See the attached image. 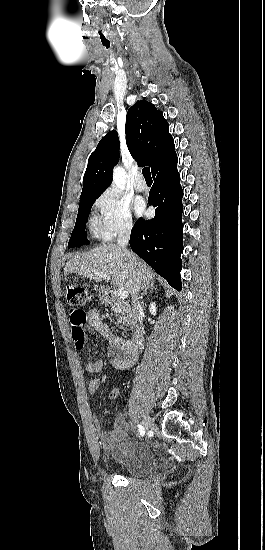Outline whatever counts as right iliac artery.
Returning a JSON list of instances; mask_svg holds the SVG:
<instances>
[{
  "label": "right iliac artery",
  "mask_w": 265,
  "mask_h": 550,
  "mask_svg": "<svg viewBox=\"0 0 265 550\" xmlns=\"http://www.w3.org/2000/svg\"><path fill=\"white\" fill-rule=\"evenodd\" d=\"M138 430H139V433H140L141 436L145 435V430H144L142 425H140V424L138 425Z\"/></svg>",
  "instance_id": "1"
}]
</instances>
